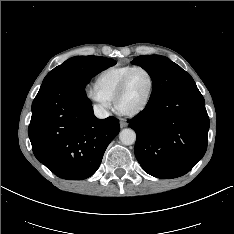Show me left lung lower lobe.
<instances>
[{"instance_id": "left-lung-lower-lobe-1", "label": "left lung lower lobe", "mask_w": 234, "mask_h": 234, "mask_svg": "<svg viewBox=\"0 0 234 234\" xmlns=\"http://www.w3.org/2000/svg\"><path fill=\"white\" fill-rule=\"evenodd\" d=\"M128 123L137 135L135 156L154 177L183 176L206 152L209 117L194 80L147 104Z\"/></svg>"}]
</instances>
